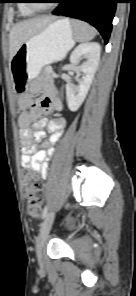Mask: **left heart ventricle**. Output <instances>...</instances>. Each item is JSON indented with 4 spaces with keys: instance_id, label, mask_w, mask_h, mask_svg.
I'll list each match as a JSON object with an SVG mask.
<instances>
[{
    "instance_id": "obj_1",
    "label": "left heart ventricle",
    "mask_w": 136,
    "mask_h": 296,
    "mask_svg": "<svg viewBox=\"0 0 136 296\" xmlns=\"http://www.w3.org/2000/svg\"><path fill=\"white\" fill-rule=\"evenodd\" d=\"M39 4H47V3H39Z\"/></svg>"
}]
</instances>
